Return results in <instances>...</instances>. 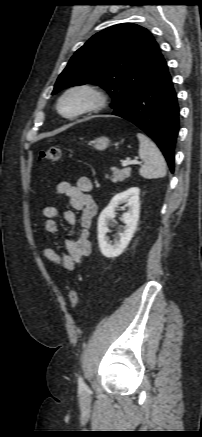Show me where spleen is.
Instances as JSON below:
<instances>
[{"label":"spleen","instance_id":"obj_1","mask_svg":"<svg viewBox=\"0 0 202 437\" xmlns=\"http://www.w3.org/2000/svg\"><path fill=\"white\" fill-rule=\"evenodd\" d=\"M137 138L140 142L139 157L144 162L139 170L140 175L146 179L165 177L166 162L158 147L142 133H138Z\"/></svg>","mask_w":202,"mask_h":437}]
</instances>
